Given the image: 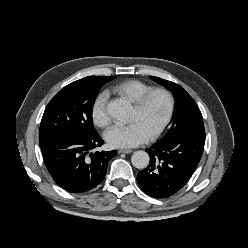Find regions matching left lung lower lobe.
<instances>
[{
  "label": "left lung lower lobe",
  "mask_w": 248,
  "mask_h": 248,
  "mask_svg": "<svg viewBox=\"0 0 248 248\" xmlns=\"http://www.w3.org/2000/svg\"><path fill=\"white\" fill-rule=\"evenodd\" d=\"M205 138L181 135L160 140L146 149L149 165L138 172L137 182L154 198H167L177 193L193 175L203 153Z\"/></svg>",
  "instance_id": "1"
}]
</instances>
